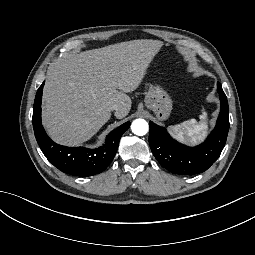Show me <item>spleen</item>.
Listing matches in <instances>:
<instances>
[{
    "label": "spleen",
    "instance_id": "3e777b00",
    "mask_svg": "<svg viewBox=\"0 0 255 255\" xmlns=\"http://www.w3.org/2000/svg\"><path fill=\"white\" fill-rule=\"evenodd\" d=\"M207 118V113L203 112L200 116L201 120H205ZM207 124L202 121L201 123H197L195 119H191L188 121H184L181 124L173 125L168 127L169 133L179 140L180 142L197 144L206 135Z\"/></svg>",
    "mask_w": 255,
    "mask_h": 255
}]
</instances>
